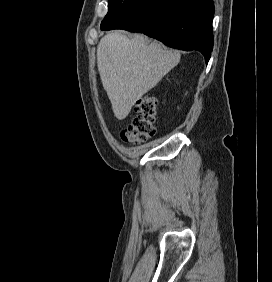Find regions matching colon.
I'll return each instance as SVG.
<instances>
[{
	"mask_svg": "<svg viewBox=\"0 0 272 282\" xmlns=\"http://www.w3.org/2000/svg\"><path fill=\"white\" fill-rule=\"evenodd\" d=\"M135 116L121 134L126 143L142 144L155 134L158 116L157 100L153 95L139 99L134 105Z\"/></svg>",
	"mask_w": 272,
	"mask_h": 282,
	"instance_id": "colon-1",
	"label": "colon"
}]
</instances>
